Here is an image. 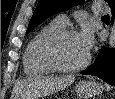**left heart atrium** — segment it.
<instances>
[{
	"mask_svg": "<svg viewBox=\"0 0 115 99\" xmlns=\"http://www.w3.org/2000/svg\"><path fill=\"white\" fill-rule=\"evenodd\" d=\"M79 37L86 51L89 52L93 45V32L91 28H84L83 31L79 34Z\"/></svg>",
	"mask_w": 115,
	"mask_h": 99,
	"instance_id": "left-heart-atrium-1",
	"label": "left heart atrium"
}]
</instances>
